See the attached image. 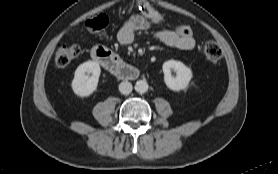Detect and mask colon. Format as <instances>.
<instances>
[{
  "mask_svg": "<svg viewBox=\"0 0 278 174\" xmlns=\"http://www.w3.org/2000/svg\"><path fill=\"white\" fill-rule=\"evenodd\" d=\"M143 14L153 23L163 24L165 18L157 10L152 8L145 0H137ZM108 24L105 15H99L86 20L85 27L88 31L95 33L103 30ZM179 36L193 37V31L189 25L181 24L174 30ZM80 47L76 44H62L55 53L54 62L58 68H64L77 59L80 55ZM204 56L210 63L216 64L222 57L221 47L214 41L207 42L204 46Z\"/></svg>",
  "mask_w": 278,
  "mask_h": 174,
  "instance_id": "obj_1",
  "label": "colon"
}]
</instances>
